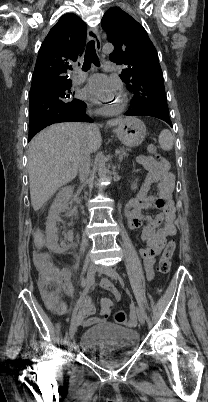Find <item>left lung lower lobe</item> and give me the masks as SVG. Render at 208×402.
Segmentation results:
<instances>
[{
  "mask_svg": "<svg viewBox=\"0 0 208 402\" xmlns=\"http://www.w3.org/2000/svg\"><path fill=\"white\" fill-rule=\"evenodd\" d=\"M125 115H127V116H153V117L159 118V119L167 122L172 127V123H171L169 116H165L162 113H159L156 111L130 108L125 113Z\"/></svg>",
  "mask_w": 208,
  "mask_h": 402,
  "instance_id": "1",
  "label": "left lung lower lobe"
}]
</instances>
